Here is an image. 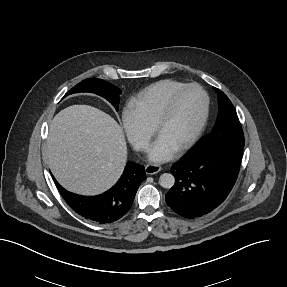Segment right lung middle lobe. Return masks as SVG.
Returning a JSON list of instances; mask_svg holds the SVG:
<instances>
[{
    "label": "right lung middle lobe",
    "mask_w": 287,
    "mask_h": 287,
    "mask_svg": "<svg viewBox=\"0 0 287 287\" xmlns=\"http://www.w3.org/2000/svg\"><path fill=\"white\" fill-rule=\"evenodd\" d=\"M78 92H91L102 96L107 99L116 108V110H118L121 90L104 80L97 78L85 79L72 88L65 96Z\"/></svg>",
    "instance_id": "right-lung-middle-lobe-1"
}]
</instances>
